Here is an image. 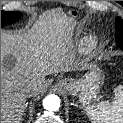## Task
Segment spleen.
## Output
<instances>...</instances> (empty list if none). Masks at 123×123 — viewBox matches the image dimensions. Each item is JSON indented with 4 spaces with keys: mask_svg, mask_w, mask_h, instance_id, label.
<instances>
[{
    "mask_svg": "<svg viewBox=\"0 0 123 123\" xmlns=\"http://www.w3.org/2000/svg\"><path fill=\"white\" fill-rule=\"evenodd\" d=\"M92 123H123V86L115 88L114 100L101 101L85 108Z\"/></svg>",
    "mask_w": 123,
    "mask_h": 123,
    "instance_id": "1",
    "label": "spleen"
}]
</instances>
